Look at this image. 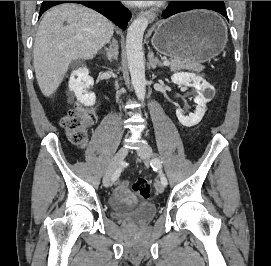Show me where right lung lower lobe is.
I'll return each instance as SVG.
<instances>
[{"label": "right lung lower lobe", "mask_w": 271, "mask_h": 266, "mask_svg": "<svg viewBox=\"0 0 271 266\" xmlns=\"http://www.w3.org/2000/svg\"><path fill=\"white\" fill-rule=\"evenodd\" d=\"M61 3L83 4L103 14L123 30L126 28L127 23L131 18L130 11L125 8L120 1H43L39 16L50 7Z\"/></svg>", "instance_id": "obj_1"}]
</instances>
